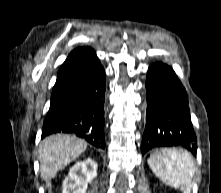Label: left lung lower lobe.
<instances>
[{
  "label": "left lung lower lobe",
  "mask_w": 221,
  "mask_h": 193,
  "mask_svg": "<svg viewBox=\"0 0 221 193\" xmlns=\"http://www.w3.org/2000/svg\"><path fill=\"white\" fill-rule=\"evenodd\" d=\"M146 126L141 143L142 155L157 147H183L197 152L196 134L190 118L186 90L173 69L162 62L149 67L146 79ZM165 107L174 112L173 125L162 116Z\"/></svg>",
  "instance_id": "obj_1"
}]
</instances>
